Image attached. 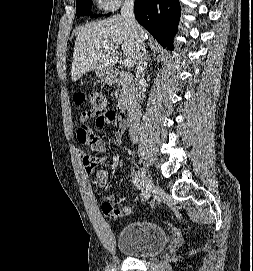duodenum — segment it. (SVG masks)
Segmentation results:
<instances>
[{
  "mask_svg": "<svg viewBox=\"0 0 253 271\" xmlns=\"http://www.w3.org/2000/svg\"><path fill=\"white\" fill-rule=\"evenodd\" d=\"M123 76L122 73L117 72L114 74L115 80H119ZM130 77V75H128ZM136 117V109L133 104H127L124 107L121 108L120 114H119V120L123 125H130Z\"/></svg>",
  "mask_w": 253,
  "mask_h": 271,
  "instance_id": "1",
  "label": "duodenum"
}]
</instances>
